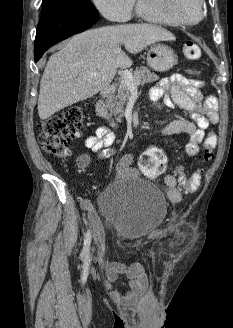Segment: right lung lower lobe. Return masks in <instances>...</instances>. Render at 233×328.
<instances>
[{
  "instance_id": "right-lung-lower-lobe-1",
  "label": "right lung lower lobe",
  "mask_w": 233,
  "mask_h": 328,
  "mask_svg": "<svg viewBox=\"0 0 233 328\" xmlns=\"http://www.w3.org/2000/svg\"><path fill=\"white\" fill-rule=\"evenodd\" d=\"M98 11L46 6L38 23L34 59L37 62L52 45L80 33L98 21Z\"/></svg>"
}]
</instances>
